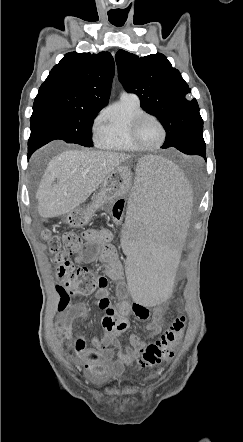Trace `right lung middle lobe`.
Wrapping results in <instances>:
<instances>
[{
	"mask_svg": "<svg viewBox=\"0 0 243 442\" xmlns=\"http://www.w3.org/2000/svg\"><path fill=\"white\" fill-rule=\"evenodd\" d=\"M99 111L75 107L59 98L35 99L30 119L31 133L55 135L67 143L91 147V128Z\"/></svg>",
	"mask_w": 243,
	"mask_h": 442,
	"instance_id": "dd1d6c3e",
	"label": "right lung middle lobe"
}]
</instances>
